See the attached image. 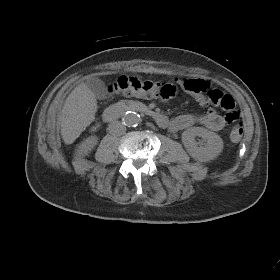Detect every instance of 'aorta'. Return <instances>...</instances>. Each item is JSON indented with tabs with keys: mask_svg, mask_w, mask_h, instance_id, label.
I'll return each instance as SVG.
<instances>
[{
	"mask_svg": "<svg viewBox=\"0 0 280 280\" xmlns=\"http://www.w3.org/2000/svg\"><path fill=\"white\" fill-rule=\"evenodd\" d=\"M141 121L140 116L136 112L128 111L122 116V123L128 127H134Z\"/></svg>",
	"mask_w": 280,
	"mask_h": 280,
	"instance_id": "762f6f07",
	"label": "aorta"
}]
</instances>
